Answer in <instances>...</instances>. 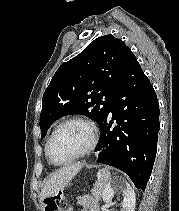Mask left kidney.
<instances>
[{"label":"left kidney","instance_id":"obj_1","mask_svg":"<svg viewBox=\"0 0 179 211\" xmlns=\"http://www.w3.org/2000/svg\"><path fill=\"white\" fill-rule=\"evenodd\" d=\"M116 190H120V192L123 195V201L121 203L122 206L121 211H135V203H136L135 192L129 186L122 188L118 187L117 184L113 182L107 183L103 191V201L106 204H111V199L115 194Z\"/></svg>","mask_w":179,"mask_h":211}]
</instances>
